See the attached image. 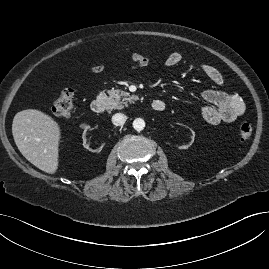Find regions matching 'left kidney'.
I'll use <instances>...</instances> for the list:
<instances>
[{
	"label": "left kidney",
	"instance_id": "1",
	"mask_svg": "<svg viewBox=\"0 0 269 269\" xmlns=\"http://www.w3.org/2000/svg\"><path fill=\"white\" fill-rule=\"evenodd\" d=\"M188 135L191 138V142L189 144H187V145H181V146H179V149H187L194 142L195 133H194V131L191 128H189V134Z\"/></svg>",
	"mask_w": 269,
	"mask_h": 269
}]
</instances>
